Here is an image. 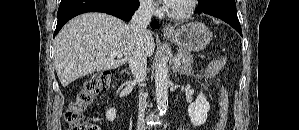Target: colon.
I'll list each match as a JSON object with an SVG mask.
<instances>
[{
	"label": "colon",
	"mask_w": 299,
	"mask_h": 130,
	"mask_svg": "<svg viewBox=\"0 0 299 130\" xmlns=\"http://www.w3.org/2000/svg\"><path fill=\"white\" fill-rule=\"evenodd\" d=\"M226 59L220 57L209 66L211 73H217L225 65ZM112 83V74L108 71H99L90 75L83 83L80 91L75 99L71 101L65 112V120L69 126V130H100V128L86 119V111L94 102L96 96L110 87ZM220 98L219 121L215 130H225L228 113V95L222 88H218Z\"/></svg>",
	"instance_id": "1"
}]
</instances>
